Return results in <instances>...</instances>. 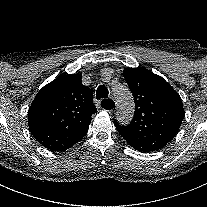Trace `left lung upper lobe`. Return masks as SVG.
Masks as SVG:
<instances>
[{
	"instance_id": "left-lung-upper-lobe-1",
	"label": "left lung upper lobe",
	"mask_w": 207,
	"mask_h": 207,
	"mask_svg": "<svg viewBox=\"0 0 207 207\" xmlns=\"http://www.w3.org/2000/svg\"><path fill=\"white\" fill-rule=\"evenodd\" d=\"M123 76L134 96L135 113L129 125L114 120L116 129L140 152L163 148L176 135L185 115L180 95L147 69L127 68Z\"/></svg>"
}]
</instances>
